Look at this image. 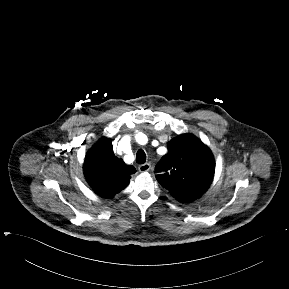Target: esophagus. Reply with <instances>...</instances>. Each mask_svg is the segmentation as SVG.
I'll list each match as a JSON object with an SVG mask.
<instances>
[{
    "label": "esophagus",
    "instance_id": "esophagus-1",
    "mask_svg": "<svg viewBox=\"0 0 289 289\" xmlns=\"http://www.w3.org/2000/svg\"><path fill=\"white\" fill-rule=\"evenodd\" d=\"M138 169L140 172H148L151 170V165L149 163H144L139 165Z\"/></svg>",
    "mask_w": 289,
    "mask_h": 289
}]
</instances>
